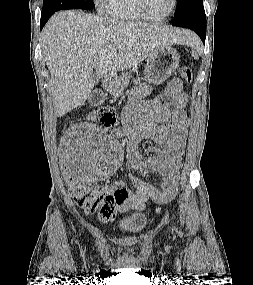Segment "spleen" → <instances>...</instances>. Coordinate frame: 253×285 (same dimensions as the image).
Segmentation results:
<instances>
[{
  "instance_id": "obj_1",
  "label": "spleen",
  "mask_w": 253,
  "mask_h": 285,
  "mask_svg": "<svg viewBox=\"0 0 253 285\" xmlns=\"http://www.w3.org/2000/svg\"><path fill=\"white\" fill-rule=\"evenodd\" d=\"M190 44L194 45V50L192 51V57L196 60L199 59L198 54L196 53L195 49H196V41L193 37H190L189 41Z\"/></svg>"
}]
</instances>
